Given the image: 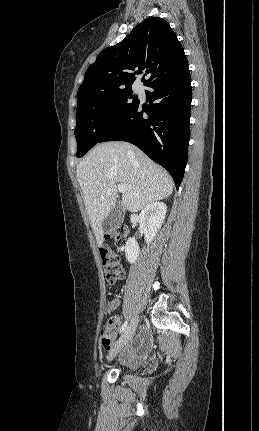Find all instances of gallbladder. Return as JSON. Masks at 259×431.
<instances>
[{
    "mask_svg": "<svg viewBox=\"0 0 259 431\" xmlns=\"http://www.w3.org/2000/svg\"><path fill=\"white\" fill-rule=\"evenodd\" d=\"M123 219L124 211L120 202L118 201L102 223L103 232L111 233L123 222Z\"/></svg>",
    "mask_w": 259,
    "mask_h": 431,
    "instance_id": "obj_1",
    "label": "gallbladder"
}]
</instances>
